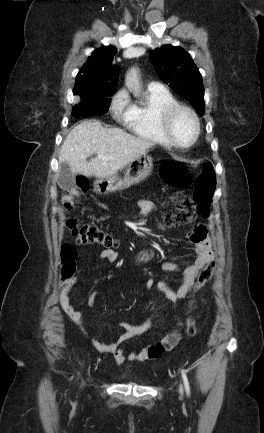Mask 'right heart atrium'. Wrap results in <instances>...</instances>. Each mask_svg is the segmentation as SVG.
I'll return each instance as SVG.
<instances>
[{
	"label": "right heart atrium",
	"instance_id": "obj_1",
	"mask_svg": "<svg viewBox=\"0 0 264 433\" xmlns=\"http://www.w3.org/2000/svg\"><path fill=\"white\" fill-rule=\"evenodd\" d=\"M131 109V103L125 90L118 91L110 103V112L117 120H126Z\"/></svg>",
	"mask_w": 264,
	"mask_h": 433
}]
</instances>
